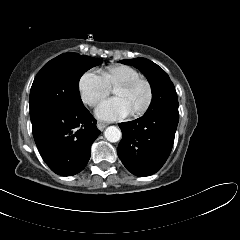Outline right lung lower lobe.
Instances as JSON below:
<instances>
[{"instance_id": "98d812e1", "label": "right lung lower lobe", "mask_w": 240, "mask_h": 240, "mask_svg": "<svg viewBox=\"0 0 240 240\" xmlns=\"http://www.w3.org/2000/svg\"><path fill=\"white\" fill-rule=\"evenodd\" d=\"M31 122L39 153L54 173L72 176L85 168L100 131L84 106L50 112Z\"/></svg>"}]
</instances>
